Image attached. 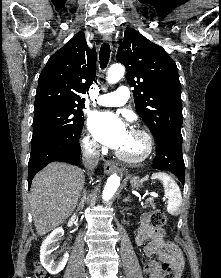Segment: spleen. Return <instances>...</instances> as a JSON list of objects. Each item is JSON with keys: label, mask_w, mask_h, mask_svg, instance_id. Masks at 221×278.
Here are the masks:
<instances>
[{"label": "spleen", "mask_w": 221, "mask_h": 278, "mask_svg": "<svg viewBox=\"0 0 221 278\" xmlns=\"http://www.w3.org/2000/svg\"><path fill=\"white\" fill-rule=\"evenodd\" d=\"M151 178L162 182L165 196L168 198L167 212L171 215H177L182 204V195L177 183L168 174L163 172L154 173ZM142 180H148V175Z\"/></svg>", "instance_id": "spleen-1"}]
</instances>
